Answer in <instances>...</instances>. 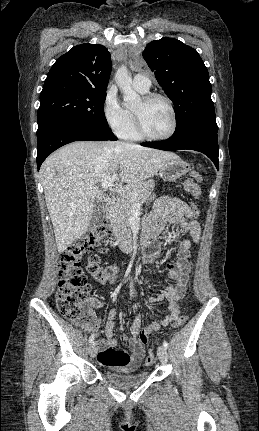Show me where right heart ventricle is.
<instances>
[{
  "mask_svg": "<svg viewBox=\"0 0 259 431\" xmlns=\"http://www.w3.org/2000/svg\"><path fill=\"white\" fill-rule=\"evenodd\" d=\"M127 111L129 113V121L126 124V126L121 130L120 136L126 140H131V141L141 140L142 139L141 136L137 133L135 129L133 112L131 110H127Z\"/></svg>",
  "mask_w": 259,
  "mask_h": 431,
  "instance_id": "right-heart-ventricle-1",
  "label": "right heart ventricle"
}]
</instances>
